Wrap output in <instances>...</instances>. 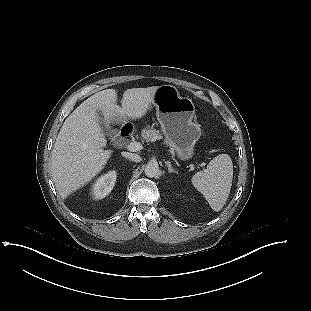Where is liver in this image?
Listing matches in <instances>:
<instances>
[{
	"label": "liver",
	"instance_id": "liver-1",
	"mask_svg": "<svg viewBox=\"0 0 311 311\" xmlns=\"http://www.w3.org/2000/svg\"><path fill=\"white\" fill-rule=\"evenodd\" d=\"M159 87L131 88L123 93L122 107L117 92L106 89L82 102L64 121L56 138L51 158V176L61 197H67L89 182L106 165L111 150L98 123V111L109 124L126 118L143 117Z\"/></svg>",
	"mask_w": 311,
	"mask_h": 311
}]
</instances>
